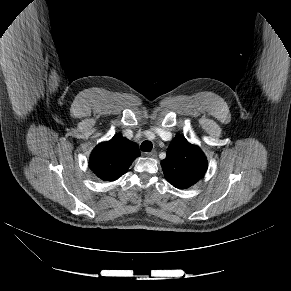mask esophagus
Instances as JSON below:
<instances>
[{
  "instance_id": "1",
  "label": "esophagus",
  "mask_w": 291,
  "mask_h": 291,
  "mask_svg": "<svg viewBox=\"0 0 291 291\" xmlns=\"http://www.w3.org/2000/svg\"><path fill=\"white\" fill-rule=\"evenodd\" d=\"M156 155H157V152L155 150L146 153V156L151 157V158L156 157Z\"/></svg>"
}]
</instances>
